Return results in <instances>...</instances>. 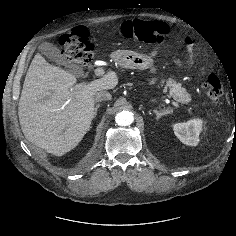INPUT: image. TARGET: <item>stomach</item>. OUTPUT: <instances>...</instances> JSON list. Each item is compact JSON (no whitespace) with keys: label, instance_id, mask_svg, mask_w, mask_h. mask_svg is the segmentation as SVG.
I'll use <instances>...</instances> for the list:
<instances>
[{"label":"stomach","instance_id":"obj_1","mask_svg":"<svg viewBox=\"0 0 236 236\" xmlns=\"http://www.w3.org/2000/svg\"><path fill=\"white\" fill-rule=\"evenodd\" d=\"M115 64L129 69H147L153 66V58L147 54H140L129 50H117L111 54Z\"/></svg>","mask_w":236,"mask_h":236}]
</instances>
